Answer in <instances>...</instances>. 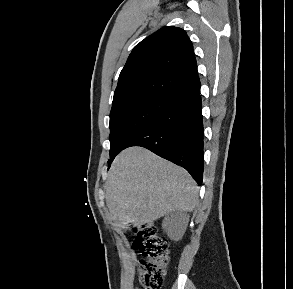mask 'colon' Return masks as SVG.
<instances>
[{"label": "colon", "mask_w": 293, "mask_h": 289, "mask_svg": "<svg viewBox=\"0 0 293 289\" xmlns=\"http://www.w3.org/2000/svg\"><path fill=\"white\" fill-rule=\"evenodd\" d=\"M134 246L142 255L139 261V281L143 289H161L170 253L166 241L154 227L143 224L135 228Z\"/></svg>", "instance_id": "1"}]
</instances>
